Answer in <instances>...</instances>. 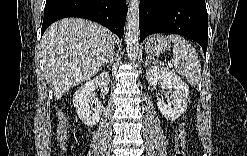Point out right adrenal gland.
<instances>
[{
    "mask_svg": "<svg viewBox=\"0 0 247 156\" xmlns=\"http://www.w3.org/2000/svg\"><path fill=\"white\" fill-rule=\"evenodd\" d=\"M113 62V59L111 58V59H109L108 61H105L104 63H103V66H107V67H109V65H111V63Z\"/></svg>",
    "mask_w": 247,
    "mask_h": 156,
    "instance_id": "1",
    "label": "right adrenal gland"
}]
</instances>
